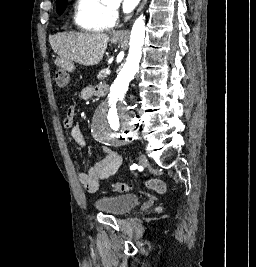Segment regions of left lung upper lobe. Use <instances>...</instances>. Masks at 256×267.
<instances>
[{"label": "left lung upper lobe", "instance_id": "obj_1", "mask_svg": "<svg viewBox=\"0 0 256 267\" xmlns=\"http://www.w3.org/2000/svg\"><path fill=\"white\" fill-rule=\"evenodd\" d=\"M67 4V0H57L56 10L58 14H62Z\"/></svg>", "mask_w": 256, "mask_h": 267}]
</instances>
